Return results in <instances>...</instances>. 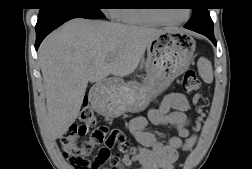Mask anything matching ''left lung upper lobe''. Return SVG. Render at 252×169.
Returning a JSON list of instances; mask_svg holds the SVG:
<instances>
[{"mask_svg": "<svg viewBox=\"0 0 252 169\" xmlns=\"http://www.w3.org/2000/svg\"><path fill=\"white\" fill-rule=\"evenodd\" d=\"M196 7L192 8L193 16L190 21L185 25L187 29L204 32V33H213V21L210 17L209 12L206 7L201 6L207 0H194Z\"/></svg>", "mask_w": 252, "mask_h": 169, "instance_id": "1", "label": "left lung upper lobe"}]
</instances>
